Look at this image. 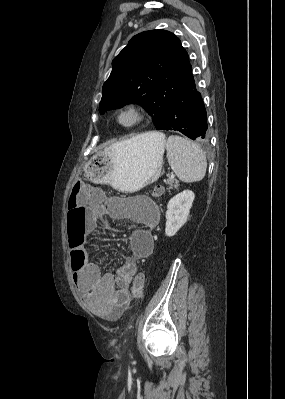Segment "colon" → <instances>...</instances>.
<instances>
[{
  "instance_id": "1",
  "label": "colon",
  "mask_w": 285,
  "mask_h": 399,
  "mask_svg": "<svg viewBox=\"0 0 285 399\" xmlns=\"http://www.w3.org/2000/svg\"><path fill=\"white\" fill-rule=\"evenodd\" d=\"M85 191H91L90 187L82 181L75 182L73 186V192L75 194ZM163 194V188L161 186H156L152 190V195L155 197H159ZM87 218L86 212L80 208L77 204L70 203L69 204V221L72 224L81 222ZM68 241L70 247L73 249L77 246L78 241L77 237L73 233L68 234ZM84 263V255L83 252L76 251L72 260V269L79 270ZM144 288V277L141 273H139L133 282V292L137 295H141Z\"/></svg>"
}]
</instances>
